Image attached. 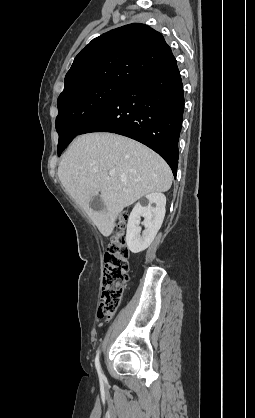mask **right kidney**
Segmentation results:
<instances>
[{
  "label": "right kidney",
  "instance_id": "1",
  "mask_svg": "<svg viewBox=\"0 0 255 418\" xmlns=\"http://www.w3.org/2000/svg\"><path fill=\"white\" fill-rule=\"evenodd\" d=\"M155 204V206H152ZM166 197L162 193L147 194L139 201L130 213L126 243L132 253H139L149 247L160 229L165 216ZM144 218L142 224L145 230L141 233L140 221Z\"/></svg>",
  "mask_w": 255,
  "mask_h": 418
}]
</instances>
